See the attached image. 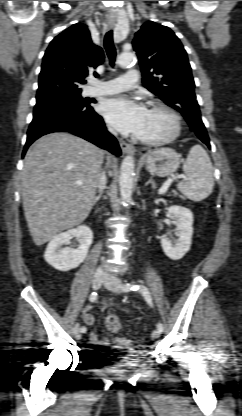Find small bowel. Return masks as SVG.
<instances>
[{
    "instance_id": "1",
    "label": "small bowel",
    "mask_w": 242,
    "mask_h": 416,
    "mask_svg": "<svg viewBox=\"0 0 242 416\" xmlns=\"http://www.w3.org/2000/svg\"><path fill=\"white\" fill-rule=\"evenodd\" d=\"M83 321L87 325H92L95 322V315L89 311H84L82 314ZM89 341L93 346L96 347H105L110 344V339L108 337L100 336L96 331H92L89 336Z\"/></svg>"
}]
</instances>
